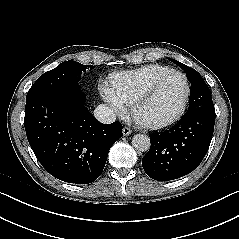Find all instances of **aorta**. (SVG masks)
<instances>
[{"mask_svg":"<svg viewBox=\"0 0 239 239\" xmlns=\"http://www.w3.org/2000/svg\"><path fill=\"white\" fill-rule=\"evenodd\" d=\"M132 145L140 152L148 151L151 145L150 138L145 134H136L132 138Z\"/></svg>","mask_w":239,"mask_h":239,"instance_id":"1","label":"aorta"}]
</instances>
